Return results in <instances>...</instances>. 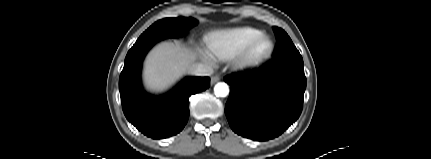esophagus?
Segmentation results:
<instances>
[{
	"instance_id": "34e87169",
	"label": "esophagus",
	"mask_w": 431,
	"mask_h": 159,
	"mask_svg": "<svg viewBox=\"0 0 431 159\" xmlns=\"http://www.w3.org/2000/svg\"><path fill=\"white\" fill-rule=\"evenodd\" d=\"M220 80V77L218 75L212 76L211 77V84H215L216 82H218Z\"/></svg>"
}]
</instances>
